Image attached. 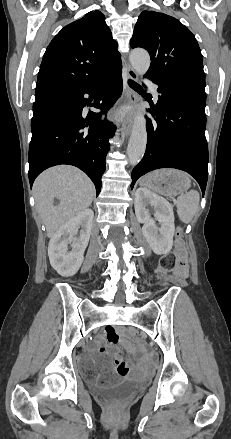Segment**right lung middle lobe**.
Returning a JSON list of instances; mask_svg holds the SVG:
<instances>
[{
  "label": "right lung middle lobe",
  "mask_w": 231,
  "mask_h": 439,
  "mask_svg": "<svg viewBox=\"0 0 231 439\" xmlns=\"http://www.w3.org/2000/svg\"><path fill=\"white\" fill-rule=\"evenodd\" d=\"M58 105L52 102L33 104V117L40 118L57 111Z\"/></svg>",
  "instance_id": "obj_1"
}]
</instances>
